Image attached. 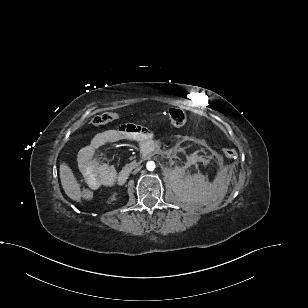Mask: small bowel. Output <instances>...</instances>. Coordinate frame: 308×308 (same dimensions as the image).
Segmentation results:
<instances>
[{
    "mask_svg": "<svg viewBox=\"0 0 308 308\" xmlns=\"http://www.w3.org/2000/svg\"><path fill=\"white\" fill-rule=\"evenodd\" d=\"M152 138L153 134L148 128L133 123L123 124L115 129L96 134L89 145L84 147L78 155L83 184L94 190L113 184L116 171L100 157L101 150L106 145L120 141L144 143Z\"/></svg>",
    "mask_w": 308,
    "mask_h": 308,
    "instance_id": "c3829d8e",
    "label": "small bowel"
}]
</instances>
